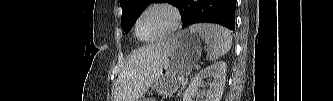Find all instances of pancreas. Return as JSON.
Masks as SVG:
<instances>
[{
    "mask_svg": "<svg viewBox=\"0 0 333 101\" xmlns=\"http://www.w3.org/2000/svg\"><path fill=\"white\" fill-rule=\"evenodd\" d=\"M185 86H186V81H184V82L182 83L181 90H183V89L185 88ZM179 94H180V92H179Z\"/></svg>",
    "mask_w": 333,
    "mask_h": 101,
    "instance_id": "obj_1",
    "label": "pancreas"
}]
</instances>
